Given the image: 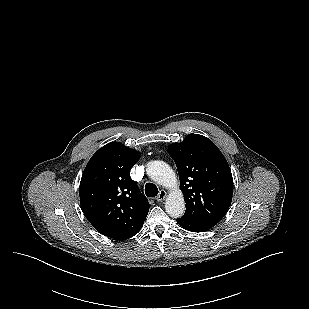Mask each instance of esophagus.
<instances>
[{
	"label": "esophagus",
	"mask_w": 309,
	"mask_h": 309,
	"mask_svg": "<svg viewBox=\"0 0 309 309\" xmlns=\"http://www.w3.org/2000/svg\"><path fill=\"white\" fill-rule=\"evenodd\" d=\"M166 197H167V193H166L165 190L162 189V190H160L158 196L156 197V200L158 202H162Z\"/></svg>",
	"instance_id": "esophagus-1"
}]
</instances>
